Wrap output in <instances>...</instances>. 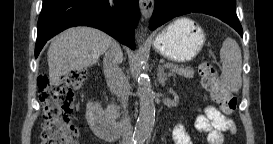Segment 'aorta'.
Returning a JSON list of instances; mask_svg holds the SVG:
<instances>
[{
  "instance_id": "obj_1",
  "label": "aorta",
  "mask_w": 273,
  "mask_h": 144,
  "mask_svg": "<svg viewBox=\"0 0 273 144\" xmlns=\"http://www.w3.org/2000/svg\"><path fill=\"white\" fill-rule=\"evenodd\" d=\"M141 38V37H140ZM140 41V40H139ZM141 59V56H138ZM140 113L133 134L137 144L144 143L151 135L155 122L154 92L148 75L139 70L137 73Z\"/></svg>"
}]
</instances>
